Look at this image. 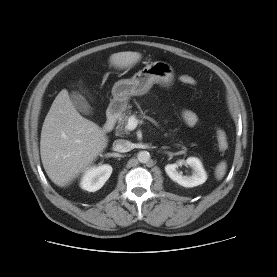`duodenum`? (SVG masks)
I'll return each instance as SVG.
<instances>
[{
  "label": "duodenum",
  "mask_w": 277,
  "mask_h": 277,
  "mask_svg": "<svg viewBox=\"0 0 277 277\" xmlns=\"http://www.w3.org/2000/svg\"><path fill=\"white\" fill-rule=\"evenodd\" d=\"M121 114L120 105L118 103H113L107 113V119L103 126V131L108 133L113 130L116 121L118 120Z\"/></svg>",
  "instance_id": "410a0bca"
}]
</instances>
